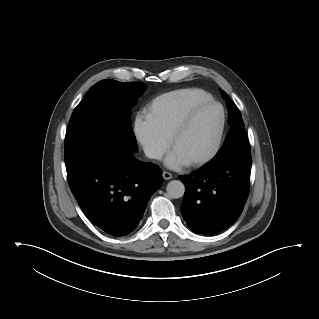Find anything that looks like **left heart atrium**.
<instances>
[{"mask_svg":"<svg viewBox=\"0 0 319 319\" xmlns=\"http://www.w3.org/2000/svg\"><path fill=\"white\" fill-rule=\"evenodd\" d=\"M165 164L171 169H180L188 165V162L173 150L168 154Z\"/></svg>","mask_w":319,"mask_h":319,"instance_id":"left-heart-atrium-1","label":"left heart atrium"}]
</instances>
